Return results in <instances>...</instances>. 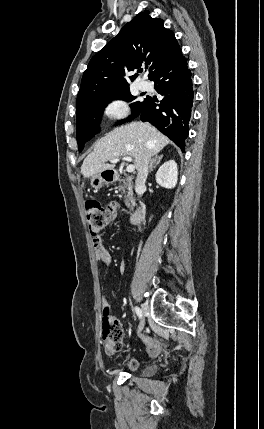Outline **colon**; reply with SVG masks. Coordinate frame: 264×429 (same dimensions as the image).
<instances>
[{
    "mask_svg": "<svg viewBox=\"0 0 264 429\" xmlns=\"http://www.w3.org/2000/svg\"><path fill=\"white\" fill-rule=\"evenodd\" d=\"M85 214L91 235L98 238L104 228L112 220L113 206H104L95 199L85 202ZM123 330L120 323L110 316L106 307L102 318V342L104 348L109 353H115L122 346ZM130 363V366H133Z\"/></svg>",
    "mask_w": 264,
    "mask_h": 429,
    "instance_id": "obj_1",
    "label": "colon"
}]
</instances>
